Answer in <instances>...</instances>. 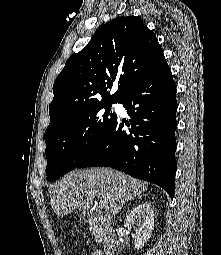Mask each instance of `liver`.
Here are the masks:
<instances>
[{
	"mask_svg": "<svg viewBox=\"0 0 221 255\" xmlns=\"http://www.w3.org/2000/svg\"><path fill=\"white\" fill-rule=\"evenodd\" d=\"M147 191L145 183L111 168L74 170L49 189L54 213L63 217L74 210H87L98 199L107 215L118 214L129 200Z\"/></svg>",
	"mask_w": 221,
	"mask_h": 255,
	"instance_id": "liver-1",
	"label": "liver"
}]
</instances>
